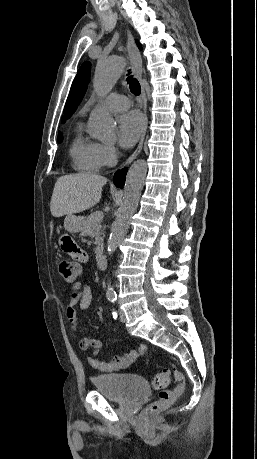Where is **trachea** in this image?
Returning a JSON list of instances; mask_svg holds the SVG:
<instances>
[{
    "label": "trachea",
    "mask_w": 257,
    "mask_h": 459,
    "mask_svg": "<svg viewBox=\"0 0 257 459\" xmlns=\"http://www.w3.org/2000/svg\"><path fill=\"white\" fill-rule=\"evenodd\" d=\"M127 82L129 84L130 91L136 96L140 95L141 93L140 84L137 79L133 78V76L130 75V72L128 73Z\"/></svg>",
    "instance_id": "obj_1"
}]
</instances>
